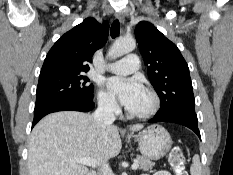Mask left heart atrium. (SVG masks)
Returning <instances> with one entry per match:
<instances>
[{
	"label": "left heart atrium",
	"instance_id": "left-heart-atrium-1",
	"mask_svg": "<svg viewBox=\"0 0 233 175\" xmlns=\"http://www.w3.org/2000/svg\"><path fill=\"white\" fill-rule=\"evenodd\" d=\"M107 86L126 108L132 107L144 93L142 83L136 78L111 77Z\"/></svg>",
	"mask_w": 233,
	"mask_h": 175
}]
</instances>
